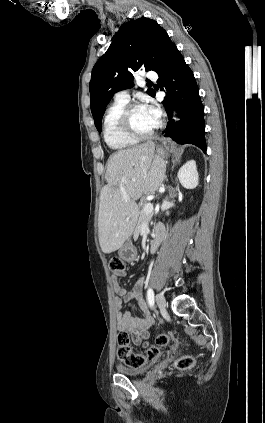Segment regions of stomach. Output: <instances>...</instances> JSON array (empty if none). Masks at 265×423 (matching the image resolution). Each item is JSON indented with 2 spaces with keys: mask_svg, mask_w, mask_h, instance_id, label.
Returning <instances> with one entry per match:
<instances>
[{
  "mask_svg": "<svg viewBox=\"0 0 265 423\" xmlns=\"http://www.w3.org/2000/svg\"><path fill=\"white\" fill-rule=\"evenodd\" d=\"M158 152L162 157H167L170 152L169 146L159 148ZM118 254L120 258L127 262L135 261L138 255L137 249L131 241L125 242L119 249Z\"/></svg>",
  "mask_w": 265,
  "mask_h": 423,
  "instance_id": "obj_1",
  "label": "stomach"
}]
</instances>
